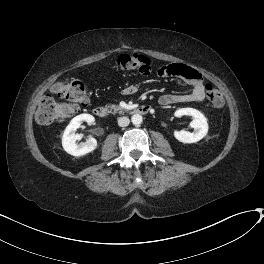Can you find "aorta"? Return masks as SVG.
Here are the masks:
<instances>
[{
	"label": "aorta",
	"mask_w": 264,
	"mask_h": 264,
	"mask_svg": "<svg viewBox=\"0 0 264 264\" xmlns=\"http://www.w3.org/2000/svg\"><path fill=\"white\" fill-rule=\"evenodd\" d=\"M143 121V118L140 114H134L132 117H131V122L134 124V125H140Z\"/></svg>",
	"instance_id": "obj_1"
}]
</instances>
